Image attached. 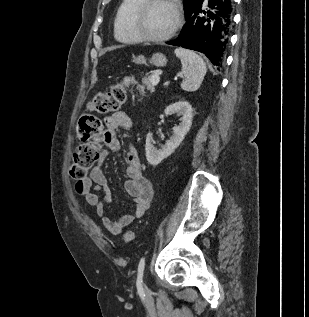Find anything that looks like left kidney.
Wrapping results in <instances>:
<instances>
[{
	"label": "left kidney",
	"mask_w": 309,
	"mask_h": 317,
	"mask_svg": "<svg viewBox=\"0 0 309 317\" xmlns=\"http://www.w3.org/2000/svg\"><path fill=\"white\" fill-rule=\"evenodd\" d=\"M164 113L171 115L176 113L181 116V123L173 128V135L161 149L157 150L152 144L151 133L146 137V159L149 164L156 166L165 158L170 156L175 149L181 144L185 135L189 132L192 125L193 109L187 101H178L166 107Z\"/></svg>",
	"instance_id": "left-kidney-1"
}]
</instances>
